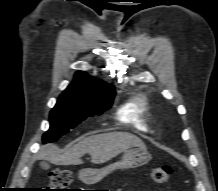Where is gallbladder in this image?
<instances>
[{
  "instance_id": "gallbladder-1",
  "label": "gallbladder",
  "mask_w": 218,
  "mask_h": 191,
  "mask_svg": "<svg viewBox=\"0 0 218 191\" xmlns=\"http://www.w3.org/2000/svg\"><path fill=\"white\" fill-rule=\"evenodd\" d=\"M40 167H41L42 169H44V170H47V169L50 168V165H49V163L46 162V161H41V162H40Z\"/></svg>"
}]
</instances>
